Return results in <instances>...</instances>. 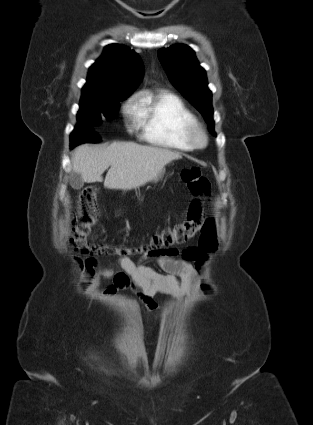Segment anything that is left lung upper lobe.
I'll return each mask as SVG.
<instances>
[{
  "mask_svg": "<svg viewBox=\"0 0 313 425\" xmlns=\"http://www.w3.org/2000/svg\"><path fill=\"white\" fill-rule=\"evenodd\" d=\"M170 82L205 118L210 133L215 135L212 93L208 88L205 70L199 65L195 52L187 45L176 44L158 51Z\"/></svg>",
  "mask_w": 313,
  "mask_h": 425,
  "instance_id": "obj_1",
  "label": "left lung upper lobe"
}]
</instances>
